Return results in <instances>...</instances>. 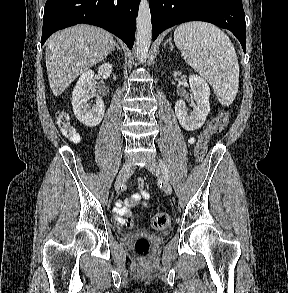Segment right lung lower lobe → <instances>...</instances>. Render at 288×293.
<instances>
[{
    "label": "right lung lower lobe",
    "mask_w": 288,
    "mask_h": 293,
    "mask_svg": "<svg viewBox=\"0 0 288 293\" xmlns=\"http://www.w3.org/2000/svg\"><path fill=\"white\" fill-rule=\"evenodd\" d=\"M140 0H47L41 45L55 31L78 23L106 29L133 47Z\"/></svg>",
    "instance_id": "1"
}]
</instances>
